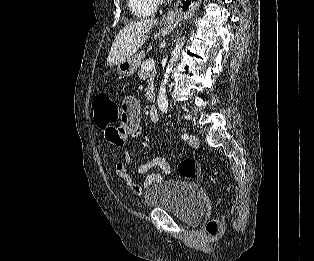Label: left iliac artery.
<instances>
[{
  "label": "left iliac artery",
  "mask_w": 314,
  "mask_h": 261,
  "mask_svg": "<svg viewBox=\"0 0 314 261\" xmlns=\"http://www.w3.org/2000/svg\"><path fill=\"white\" fill-rule=\"evenodd\" d=\"M181 138H182L183 140H187V139H188V135L184 133V134L181 135Z\"/></svg>",
  "instance_id": "1"
}]
</instances>
